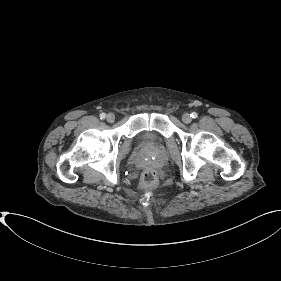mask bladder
<instances>
[{"label": "bladder", "instance_id": "31cf9c89", "mask_svg": "<svg viewBox=\"0 0 281 281\" xmlns=\"http://www.w3.org/2000/svg\"><path fill=\"white\" fill-rule=\"evenodd\" d=\"M144 146L147 148H154L155 144L152 140L147 139L144 141Z\"/></svg>", "mask_w": 281, "mask_h": 281}]
</instances>
